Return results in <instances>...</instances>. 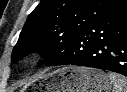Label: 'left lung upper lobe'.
Masks as SVG:
<instances>
[{
  "instance_id": "obj_1",
  "label": "left lung upper lobe",
  "mask_w": 127,
  "mask_h": 92,
  "mask_svg": "<svg viewBox=\"0 0 127 92\" xmlns=\"http://www.w3.org/2000/svg\"><path fill=\"white\" fill-rule=\"evenodd\" d=\"M125 1L41 0L27 18L13 49V59L39 51L48 64L61 55L79 32Z\"/></svg>"
}]
</instances>
